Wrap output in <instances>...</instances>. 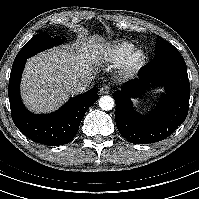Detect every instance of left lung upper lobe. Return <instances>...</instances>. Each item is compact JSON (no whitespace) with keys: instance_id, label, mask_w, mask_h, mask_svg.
<instances>
[{"instance_id":"left-lung-upper-lobe-1","label":"left lung upper lobe","mask_w":199,"mask_h":199,"mask_svg":"<svg viewBox=\"0 0 199 199\" xmlns=\"http://www.w3.org/2000/svg\"><path fill=\"white\" fill-rule=\"evenodd\" d=\"M171 53H179V51L172 44L158 36L156 41L155 57Z\"/></svg>"}]
</instances>
